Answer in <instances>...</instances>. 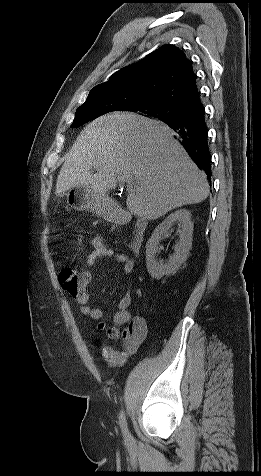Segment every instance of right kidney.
<instances>
[{
	"mask_svg": "<svg viewBox=\"0 0 261 476\" xmlns=\"http://www.w3.org/2000/svg\"><path fill=\"white\" fill-rule=\"evenodd\" d=\"M177 222L181 228L180 240L174 246L175 253L167 262L157 261L156 253L159 251L160 240L167 236L172 225ZM193 223L191 213L186 209H180L171 213L154 230L146 244V266L152 278L161 279L164 275H173L186 261L192 246Z\"/></svg>",
	"mask_w": 261,
	"mask_h": 476,
	"instance_id": "obj_1",
	"label": "right kidney"
}]
</instances>
